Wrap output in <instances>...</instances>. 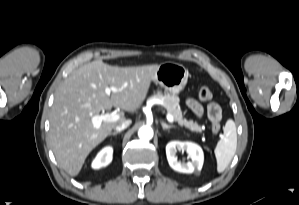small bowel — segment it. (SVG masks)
Returning a JSON list of instances; mask_svg holds the SVG:
<instances>
[{"label":"small bowel","instance_id":"obj_1","mask_svg":"<svg viewBox=\"0 0 299 205\" xmlns=\"http://www.w3.org/2000/svg\"><path fill=\"white\" fill-rule=\"evenodd\" d=\"M187 105L189 106V108L197 115V116H202L203 114V107L202 105L196 101L195 99H192V98H189L187 100ZM211 108H217L220 110L219 106L216 104V103H211L209 104L208 106V111L211 109Z\"/></svg>","mask_w":299,"mask_h":205}]
</instances>
